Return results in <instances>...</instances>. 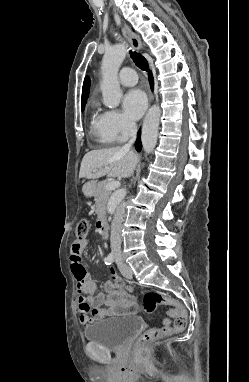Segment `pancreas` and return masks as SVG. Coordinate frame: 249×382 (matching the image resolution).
<instances>
[{"label": "pancreas", "mask_w": 249, "mask_h": 382, "mask_svg": "<svg viewBox=\"0 0 249 382\" xmlns=\"http://www.w3.org/2000/svg\"><path fill=\"white\" fill-rule=\"evenodd\" d=\"M107 183L108 181L99 182L94 192L96 205L95 213L97 214L98 218H102L105 215V206L111 195V190L106 189Z\"/></svg>", "instance_id": "cf45deb5"}]
</instances>
